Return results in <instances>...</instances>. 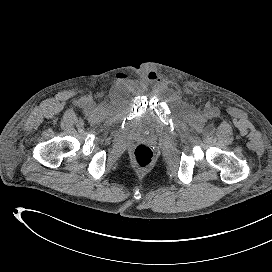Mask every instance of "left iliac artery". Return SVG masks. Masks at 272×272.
<instances>
[{
    "mask_svg": "<svg viewBox=\"0 0 272 272\" xmlns=\"http://www.w3.org/2000/svg\"><path fill=\"white\" fill-rule=\"evenodd\" d=\"M214 115H215V116H218V115H219V111H218V110H215V111H214Z\"/></svg>",
    "mask_w": 272,
    "mask_h": 272,
    "instance_id": "obj_1",
    "label": "left iliac artery"
}]
</instances>
